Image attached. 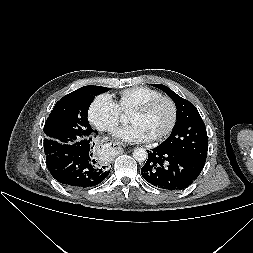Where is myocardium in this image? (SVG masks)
I'll use <instances>...</instances> for the list:
<instances>
[{"label":"myocardium","mask_w":253,"mask_h":253,"mask_svg":"<svg viewBox=\"0 0 253 253\" xmlns=\"http://www.w3.org/2000/svg\"><path fill=\"white\" fill-rule=\"evenodd\" d=\"M160 102H167L171 107L172 117L168 127L165 129L163 133L159 136L153 138L154 141L160 142L166 139L175 129L177 121H178V108L176 103L173 99L168 96H158L153 99L146 101L145 103L141 104L140 106L136 107L131 114H143L150 111L155 105Z\"/></svg>","instance_id":"f54148a6"}]
</instances>
